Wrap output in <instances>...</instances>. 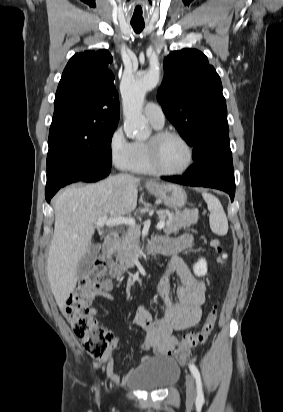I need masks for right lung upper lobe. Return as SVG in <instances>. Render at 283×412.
<instances>
[{
	"label": "right lung upper lobe",
	"mask_w": 283,
	"mask_h": 412,
	"mask_svg": "<svg viewBox=\"0 0 283 412\" xmlns=\"http://www.w3.org/2000/svg\"><path fill=\"white\" fill-rule=\"evenodd\" d=\"M112 61L111 54L104 49L75 54L59 82L53 118L78 114L102 128H115L120 110L114 75L108 68Z\"/></svg>",
	"instance_id": "obj_1"
}]
</instances>
